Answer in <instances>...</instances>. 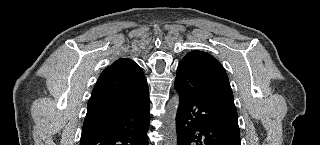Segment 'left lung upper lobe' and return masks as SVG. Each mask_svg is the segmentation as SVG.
I'll return each instance as SVG.
<instances>
[{
    "label": "left lung upper lobe",
    "instance_id": "obj_1",
    "mask_svg": "<svg viewBox=\"0 0 320 145\" xmlns=\"http://www.w3.org/2000/svg\"><path fill=\"white\" fill-rule=\"evenodd\" d=\"M182 61L212 72L227 82L228 92L224 96L223 105L229 112L237 117V110L234 104L233 93L229 84L228 76L221 63L210 54L199 50L188 52Z\"/></svg>",
    "mask_w": 320,
    "mask_h": 145
}]
</instances>
